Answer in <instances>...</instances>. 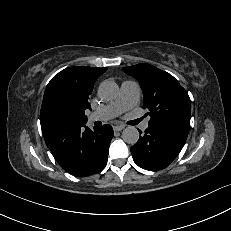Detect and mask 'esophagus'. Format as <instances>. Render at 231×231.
Returning a JSON list of instances; mask_svg holds the SVG:
<instances>
[{"mask_svg": "<svg viewBox=\"0 0 231 231\" xmlns=\"http://www.w3.org/2000/svg\"><path fill=\"white\" fill-rule=\"evenodd\" d=\"M124 128H125L124 125H115V126L113 127V130L117 132V131L123 130Z\"/></svg>", "mask_w": 231, "mask_h": 231, "instance_id": "esophagus-1", "label": "esophagus"}]
</instances>
